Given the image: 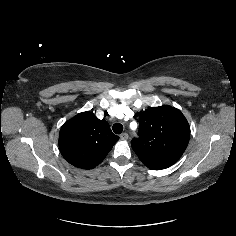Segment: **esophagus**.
I'll return each instance as SVG.
<instances>
[{"instance_id": "obj_1", "label": "esophagus", "mask_w": 236, "mask_h": 236, "mask_svg": "<svg viewBox=\"0 0 236 236\" xmlns=\"http://www.w3.org/2000/svg\"><path fill=\"white\" fill-rule=\"evenodd\" d=\"M120 138H121L122 140H127V139L129 138V135H128L127 133H122V134L120 135Z\"/></svg>"}]
</instances>
